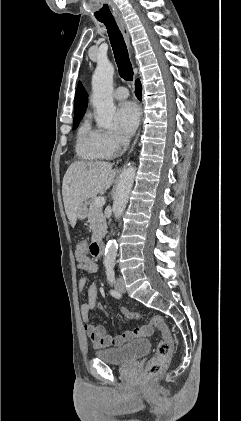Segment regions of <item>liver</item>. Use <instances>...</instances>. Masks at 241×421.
I'll return each mask as SVG.
<instances>
[{"mask_svg": "<svg viewBox=\"0 0 241 421\" xmlns=\"http://www.w3.org/2000/svg\"><path fill=\"white\" fill-rule=\"evenodd\" d=\"M112 164L104 161L72 163L63 178L62 196L66 215L74 228L79 207L89 198L108 190L115 178Z\"/></svg>", "mask_w": 241, "mask_h": 421, "instance_id": "obj_1", "label": "liver"}]
</instances>
